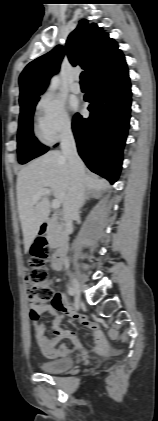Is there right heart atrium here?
<instances>
[{
  "label": "right heart atrium",
  "mask_w": 158,
  "mask_h": 421,
  "mask_svg": "<svg viewBox=\"0 0 158 421\" xmlns=\"http://www.w3.org/2000/svg\"><path fill=\"white\" fill-rule=\"evenodd\" d=\"M37 127L42 139L54 143L71 131V119L64 103L46 93L36 104Z\"/></svg>",
  "instance_id": "d8ad5b80"
}]
</instances>
